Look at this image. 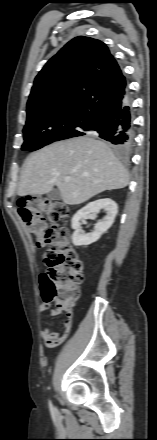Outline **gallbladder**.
Listing matches in <instances>:
<instances>
[{"instance_id":"obj_1","label":"gallbladder","mask_w":157,"mask_h":440,"mask_svg":"<svg viewBox=\"0 0 157 440\" xmlns=\"http://www.w3.org/2000/svg\"><path fill=\"white\" fill-rule=\"evenodd\" d=\"M47 197L50 200L58 201L61 200V193L58 189H52L49 193H47Z\"/></svg>"}]
</instances>
